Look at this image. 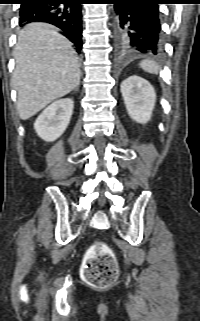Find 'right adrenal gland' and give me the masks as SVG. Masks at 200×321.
<instances>
[{"label":"right adrenal gland","mask_w":200,"mask_h":321,"mask_svg":"<svg viewBox=\"0 0 200 321\" xmlns=\"http://www.w3.org/2000/svg\"><path fill=\"white\" fill-rule=\"evenodd\" d=\"M79 90V86H77L75 89H74V91H78Z\"/></svg>","instance_id":"1"}]
</instances>
